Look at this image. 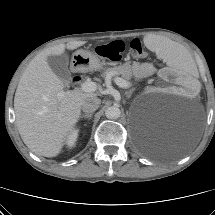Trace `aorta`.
I'll use <instances>...</instances> for the list:
<instances>
[{
	"instance_id": "762f6f07",
	"label": "aorta",
	"mask_w": 215,
	"mask_h": 215,
	"mask_svg": "<svg viewBox=\"0 0 215 215\" xmlns=\"http://www.w3.org/2000/svg\"><path fill=\"white\" fill-rule=\"evenodd\" d=\"M105 115L109 119H117L121 115V110L117 106H110L106 109Z\"/></svg>"
}]
</instances>
